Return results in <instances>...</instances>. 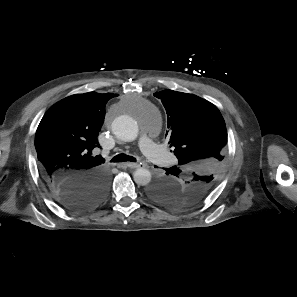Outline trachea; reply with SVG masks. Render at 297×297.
<instances>
[{"mask_svg": "<svg viewBox=\"0 0 297 297\" xmlns=\"http://www.w3.org/2000/svg\"><path fill=\"white\" fill-rule=\"evenodd\" d=\"M136 158L133 156L126 155L124 153H120L114 156L110 162H136Z\"/></svg>", "mask_w": 297, "mask_h": 297, "instance_id": "3493384b", "label": "trachea"}]
</instances>
